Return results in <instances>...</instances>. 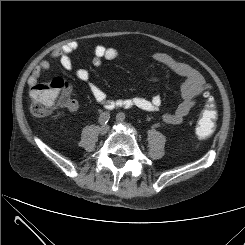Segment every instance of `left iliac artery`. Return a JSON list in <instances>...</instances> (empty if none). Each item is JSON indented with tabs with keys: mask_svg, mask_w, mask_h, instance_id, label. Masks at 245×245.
I'll return each mask as SVG.
<instances>
[{
	"mask_svg": "<svg viewBox=\"0 0 245 245\" xmlns=\"http://www.w3.org/2000/svg\"><path fill=\"white\" fill-rule=\"evenodd\" d=\"M117 117H119V118L124 120L125 119V114L120 112V113L117 114Z\"/></svg>",
	"mask_w": 245,
	"mask_h": 245,
	"instance_id": "1",
	"label": "left iliac artery"
}]
</instances>
